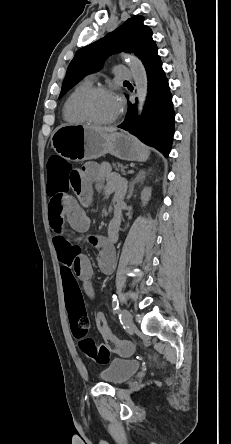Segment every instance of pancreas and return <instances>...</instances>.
<instances>
[{"label": "pancreas", "instance_id": "1", "mask_svg": "<svg viewBox=\"0 0 231 444\" xmlns=\"http://www.w3.org/2000/svg\"><path fill=\"white\" fill-rule=\"evenodd\" d=\"M112 167L116 170H121V171H125L126 166H124L122 163H117V162H113L112 163Z\"/></svg>", "mask_w": 231, "mask_h": 444}]
</instances>
